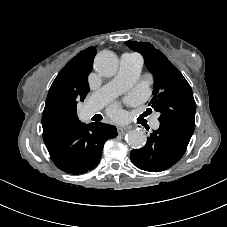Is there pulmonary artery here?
Returning a JSON list of instances; mask_svg holds the SVG:
<instances>
[{"instance_id":"pulmonary-artery-1","label":"pulmonary artery","mask_w":227,"mask_h":227,"mask_svg":"<svg viewBox=\"0 0 227 227\" xmlns=\"http://www.w3.org/2000/svg\"><path fill=\"white\" fill-rule=\"evenodd\" d=\"M142 65L143 61L140 56L135 54H123L117 75L108 84L93 94L91 104L86 108V115H92L107 101L131 88L139 78ZM159 125L158 116H153L151 127L158 129Z\"/></svg>"}]
</instances>
